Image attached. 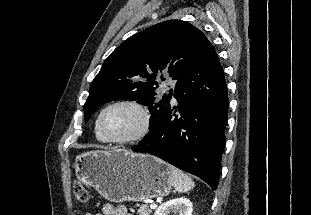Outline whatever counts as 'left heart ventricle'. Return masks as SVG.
<instances>
[{
    "label": "left heart ventricle",
    "mask_w": 311,
    "mask_h": 215,
    "mask_svg": "<svg viewBox=\"0 0 311 215\" xmlns=\"http://www.w3.org/2000/svg\"><path fill=\"white\" fill-rule=\"evenodd\" d=\"M142 124L140 113L130 106H115L106 111L102 119L104 133L113 138L135 134Z\"/></svg>",
    "instance_id": "1"
}]
</instances>
